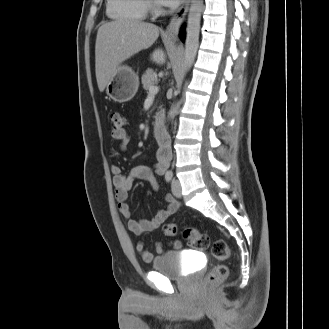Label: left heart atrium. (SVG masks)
Returning a JSON list of instances; mask_svg holds the SVG:
<instances>
[{
	"label": "left heart atrium",
	"instance_id": "left-heart-atrium-1",
	"mask_svg": "<svg viewBox=\"0 0 329 329\" xmlns=\"http://www.w3.org/2000/svg\"><path fill=\"white\" fill-rule=\"evenodd\" d=\"M162 4L166 5V6H177L181 0H160Z\"/></svg>",
	"mask_w": 329,
	"mask_h": 329
}]
</instances>
